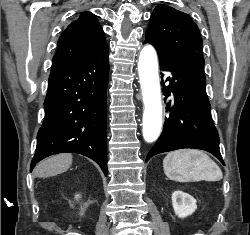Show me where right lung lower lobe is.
Wrapping results in <instances>:
<instances>
[{
  "instance_id": "98d812e1",
  "label": "right lung lower lobe",
  "mask_w": 250,
  "mask_h": 235,
  "mask_svg": "<svg viewBox=\"0 0 250 235\" xmlns=\"http://www.w3.org/2000/svg\"><path fill=\"white\" fill-rule=\"evenodd\" d=\"M108 78V45L82 61L51 69L31 171L48 156L72 152L94 160L107 176Z\"/></svg>"
}]
</instances>
